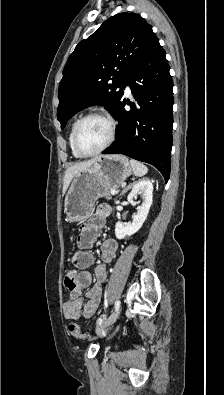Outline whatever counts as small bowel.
I'll return each mask as SVG.
<instances>
[{"label": "small bowel", "mask_w": 224, "mask_h": 395, "mask_svg": "<svg viewBox=\"0 0 224 395\" xmlns=\"http://www.w3.org/2000/svg\"><path fill=\"white\" fill-rule=\"evenodd\" d=\"M109 214L110 208L107 205L100 206L96 214L85 222L79 234L78 246L80 250L72 256V263L81 271L77 275L76 287L71 291L69 299L63 306L64 316L67 320H77L81 314L84 318H91L100 305L101 285L107 278V265L114 263L117 259V242L107 239L102 243L101 262L94 269L96 282L92 286V276L86 269L94 263L95 258L90 248L99 238ZM88 287H90L86 293L88 300L83 304L82 292Z\"/></svg>", "instance_id": "small-bowel-1"}]
</instances>
